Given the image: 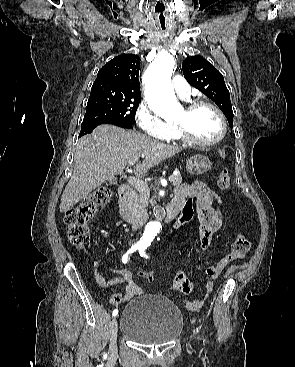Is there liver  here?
Here are the masks:
<instances>
[{
    "instance_id": "obj_1",
    "label": "liver",
    "mask_w": 295,
    "mask_h": 367,
    "mask_svg": "<svg viewBox=\"0 0 295 367\" xmlns=\"http://www.w3.org/2000/svg\"><path fill=\"white\" fill-rule=\"evenodd\" d=\"M183 150L158 142L136 131L113 125L98 126L78 140L74 171L61 197L60 212H67L106 180L137 162L134 172L142 176L150 168ZM139 157L144 158L138 162ZM131 162H134L131 164Z\"/></svg>"
}]
</instances>
